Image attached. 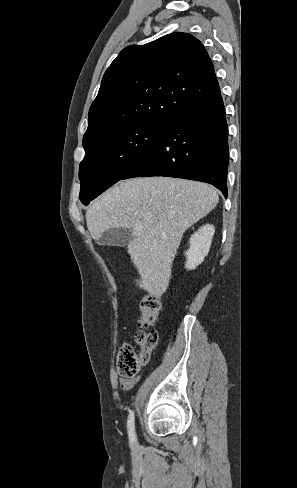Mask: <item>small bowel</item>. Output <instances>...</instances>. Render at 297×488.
Returning a JSON list of instances; mask_svg holds the SVG:
<instances>
[{
	"label": "small bowel",
	"instance_id": "1",
	"mask_svg": "<svg viewBox=\"0 0 297 488\" xmlns=\"http://www.w3.org/2000/svg\"><path fill=\"white\" fill-rule=\"evenodd\" d=\"M140 380V376L135 377H123L119 378V384L122 390L129 391L131 390L135 384Z\"/></svg>",
	"mask_w": 297,
	"mask_h": 488
}]
</instances>
